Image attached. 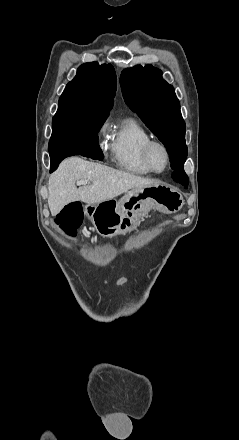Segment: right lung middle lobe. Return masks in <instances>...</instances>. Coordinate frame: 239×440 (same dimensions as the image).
I'll list each match as a JSON object with an SVG mask.
<instances>
[{
	"instance_id": "right-lung-middle-lobe-1",
	"label": "right lung middle lobe",
	"mask_w": 239,
	"mask_h": 440,
	"mask_svg": "<svg viewBox=\"0 0 239 440\" xmlns=\"http://www.w3.org/2000/svg\"><path fill=\"white\" fill-rule=\"evenodd\" d=\"M108 116L58 110L52 120L49 153L53 155L88 144H98V132Z\"/></svg>"
}]
</instances>
